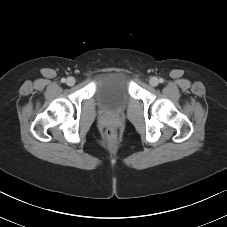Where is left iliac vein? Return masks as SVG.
<instances>
[{"label":"left iliac vein","instance_id":"4c4485c4","mask_svg":"<svg viewBox=\"0 0 227 227\" xmlns=\"http://www.w3.org/2000/svg\"><path fill=\"white\" fill-rule=\"evenodd\" d=\"M158 83H159V80L156 77H151L150 80H149V84L151 86H154L155 87V86L158 85Z\"/></svg>","mask_w":227,"mask_h":227}]
</instances>
